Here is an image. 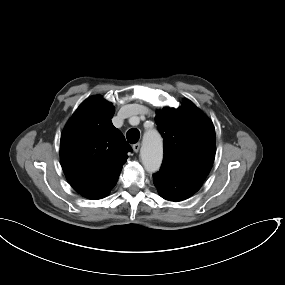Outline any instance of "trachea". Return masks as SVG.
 <instances>
[{
	"label": "trachea",
	"mask_w": 285,
	"mask_h": 285,
	"mask_svg": "<svg viewBox=\"0 0 285 285\" xmlns=\"http://www.w3.org/2000/svg\"><path fill=\"white\" fill-rule=\"evenodd\" d=\"M127 140L131 144H135L140 138V132L138 129H130L126 134Z\"/></svg>",
	"instance_id": "trachea-1"
}]
</instances>
